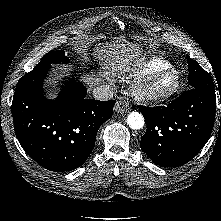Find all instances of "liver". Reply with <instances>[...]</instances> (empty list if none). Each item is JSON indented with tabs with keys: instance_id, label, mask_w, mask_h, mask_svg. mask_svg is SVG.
I'll use <instances>...</instances> for the list:
<instances>
[{
	"instance_id": "1",
	"label": "liver",
	"mask_w": 221,
	"mask_h": 221,
	"mask_svg": "<svg viewBox=\"0 0 221 221\" xmlns=\"http://www.w3.org/2000/svg\"><path fill=\"white\" fill-rule=\"evenodd\" d=\"M98 58L104 60L105 68L110 70L111 73L120 72L121 74L128 71L134 63L141 60L142 51L138 45H135L123 38H117L110 43H105L99 49H97ZM65 71L62 69L55 74V77L50 82L54 85L55 82L60 79ZM85 83L89 86L101 84V79L93 76H86Z\"/></svg>"
}]
</instances>
